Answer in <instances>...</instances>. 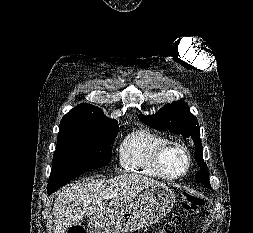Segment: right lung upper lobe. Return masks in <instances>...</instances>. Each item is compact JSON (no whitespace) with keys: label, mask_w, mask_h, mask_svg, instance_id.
<instances>
[{"label":"right lung upper lobe","mask_w":253,"mask_h":233,"mask_svg":"<svg viewBox=\"0 0 253 233\" xmlns=\"http://www.w3.org/2000/svg\"><path fill=\"white\" fill-rule=\"evenodd\" d=\"M65 116H82V117L110 119L103 115V112L100 108L86 103L78 105L77 107L72 109L69 113H67Z\"/></svg>","instance_id":"obj_1"}]
</instances>
